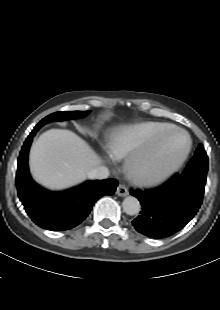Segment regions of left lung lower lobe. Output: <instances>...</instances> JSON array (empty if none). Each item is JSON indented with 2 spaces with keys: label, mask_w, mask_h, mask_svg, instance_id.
Wrapping results in <instances>:
<instances>
[{
  "label": "left lung lower lobe",
  "mask_w": 220,
  "mask_h": 310,
  "mask_svg": "<svg viewBox=\"0 0 220 310\" xmlns=\"http://www.w3.org/2000/svg\"><path fill=\"white\" fill-rule=\"evenodd\" d=\"M206 176L175 174L162 186L151 190H130L142 205L132 224L151 238L178 232L196 215L204 194Z\"/></svg>",
  "instance_id": "1"
}]
</instances>
